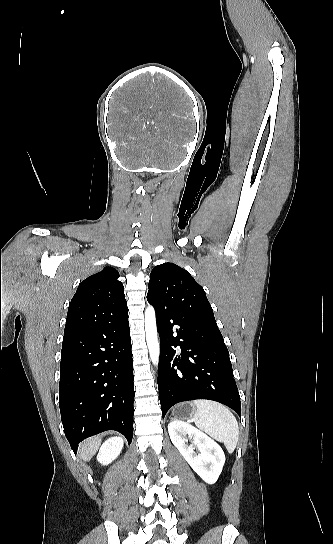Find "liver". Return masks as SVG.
Segmentation results:
<instances>
[{
	"instance_id": "1",
	"label": "liver",
	"mask_w": 333,
	"mask_h": 544,
	"mask_svg": "<svg viewBox=\"0 0 333 544\" xmlns=\"http://www.w3.org/2000/svg\"><path fill=\"white\" fill-rule=\"evenodd\" d=\"M100 443V436L87 439L86 441L81 443L79 447V457L82 458L84 461H89L98 450Z\"/></svg>"
}]
</instances>
